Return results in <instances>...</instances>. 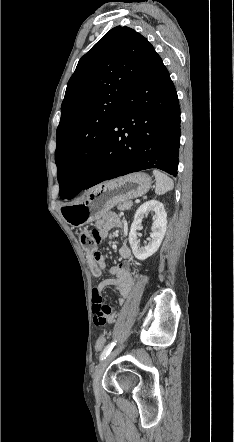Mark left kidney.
<instances>
[{"instance_id":"5707ae66","label":"left kidney","mask_w":234,"mask_h":442,"mask_svg":"<svg viewBox=\"0 0 234 442\" xmlns=\"http://www.w3.org/2000/svg\"><path fill=\"white\" fill-rule=\"evenodd\" d=\"M148 212H154L156 219L152 224L150 234L151 241L144 247H140L138 240L137 227L141 224L144 216ZM167 228V214L164 205L157 200H150L142 204L135 213L133 223L129 233V243L133 254L138 260H145L153 255L161 245Z\"/></svg>"}]
</instances>
